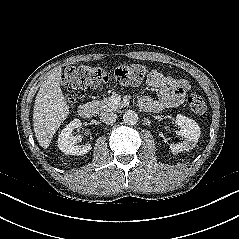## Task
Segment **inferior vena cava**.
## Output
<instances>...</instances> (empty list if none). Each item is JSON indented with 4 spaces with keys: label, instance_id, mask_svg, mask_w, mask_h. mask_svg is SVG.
<instances>
[{
    "label": "inferior vena cava",
    "instance_id": "inferior-vena-cava-1",
    "mask_svg": "<svg viewBox=\"0 0 239 239\" xmlns=\"http://www.w3.org/2000/svg\"><path fill=\"white\" fill-rule=\"evenodd\" d=\"M100 119L106 124H113L116 122L117 115L112 112H103Z\"/></svg>",
    "mask_w": 239,
    "mask_h": 239
}]
</instances>
